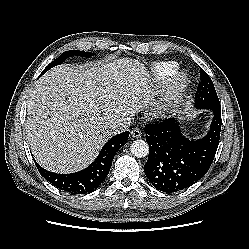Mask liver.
Instances as JSON below:
<instances>
[{"label":"liver","instance_id":"liver-1","mask_svg":"<svg viewBox=\"0 0 249 249\" xmlns=\"http://www.w3.org/2000/svg\"><path fill=\"white\" fill-rule=\"evenodd\" d=\"M150 81L146 67L130 58L49 70L27 101L25 128L36 161L55 173L88 166L113 135L110 125L147 107Z\"/></svg>","mask_w":249,"mask_h":249}]
</instances>
